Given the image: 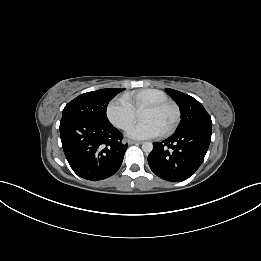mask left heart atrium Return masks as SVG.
Returning a JSON list of instances; mask_svg holds the SVG:
<instances>
[{
    "label": "left heart atrium",
    "mask_w": 261,
    "mask_h": 261,
    "mask_svg": "<svg viewBox=\"0 0 261 261\" xmlns=\"http://www.w3.org/2000/svg\"><path fill=\"white\" fill-rule=\"evenodd\" d=\"M163 129L154 121L145 120L132 125L127 135L135 139L155 138L163 134Z\"/></svg>",
    "instance_id": "obj_1"
}]
</instances>
